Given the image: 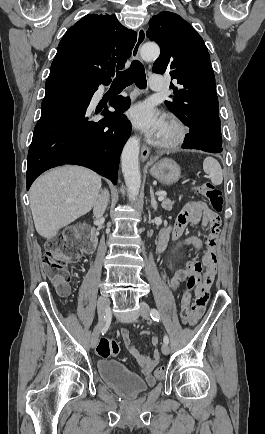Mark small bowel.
<instances>
[{
	"instance_id": "1",
	"label": "small bowel",
	"mask_w": 265,
	"mask_h": 434,
	"mask_svg": "<svg viewBox=\"0 0 265 434\" xmlns=\"http://www.w3.org/2000/svg\"><path fill=\"white\" fill-rule=\"evenodd\" d=\"M220 222L219 215L211 210L205 202L192 201L186 203L178 213L174 223L164 228L160 233L159 240H162L165 245H167L169 240H172L175 250L178 251L184 246L200 248L202 245L200 238L196 236L183 237L184 231L188 225H200L209 232L208 251L203 259V263L206 267V271L204 272L203 276L200 275L203 273L201 264L199 262L189 261L183 267H180L174 271L173 277L169 282L171 290L176 293L180 283L183 282L189 275L197 274L195 278L197 280H201L200 285L195 290V302L190 308V318L192 319V325L196 324L201 319L209 300V289L214 281L216 273L215 248ZM120 335L127 350L143 365V373L146 382L149 385H153L155 383V378L153 377L151 371L155 365V362L159 358V353L156 349L158 337L154 336L151 339L150 344L155 351L153 357H148L139 353L138 349L132 342L129 330L127 328H121Z\"/></svg>"
}]
</instances>
